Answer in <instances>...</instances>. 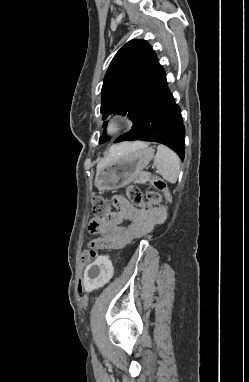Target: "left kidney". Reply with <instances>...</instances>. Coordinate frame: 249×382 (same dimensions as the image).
Returning a JSON list of instances; mask_svg holds the SVG:
<instances>
[{"instance_id": "left-kidney-1", "label": "left kidney", "mask_w": 249, "mask_h": 382, "mask_svg": "<svg viewBox=\"0 0 249 382\" xmlns=\"http://www.w3.org/2000/svg\"><path fill=\"white\" fill-rule=\"evenodd\" d=\"M98 270H85V275L81 277L82 286L84 287L85 295L89 297L90 293H95L96 289L106 288L108 281L115 276L116 267L112 266V261L108 256L101 255L93 263Z\"/></svg>"}]
</instances>
